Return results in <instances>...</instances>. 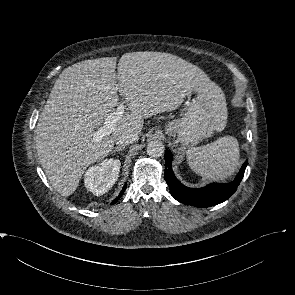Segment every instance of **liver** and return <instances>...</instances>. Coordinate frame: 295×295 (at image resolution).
Returning <instances> with one entry per match:
<instances>
[{
	"label": "liver",
	"mask_w": 295,
	"mask_h": 295,
	"mask_svg": "<svg viewBox=\"0 0 295 295\" xmlns=\"http://www.w3.org/2000/svg\"><path fill=\"white\" fill-rule=\"evenodd\" d=\"M209 81L196 65L162 52L126 53L118 64L116 57L90 59L64 69L36 129L37 153L51 185L70 196L86 168L114 148L116 137L140 134L144 118L177 109L193 88ZM118 92L130 112L111 134L97 139L94 129L119 104Z\"/></svg>",
	"instance_id": "liver-1"
}]
</instances>
